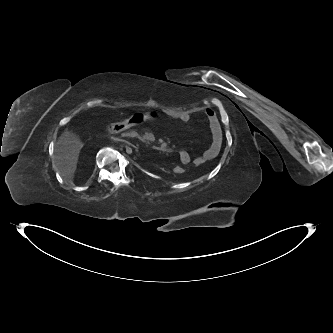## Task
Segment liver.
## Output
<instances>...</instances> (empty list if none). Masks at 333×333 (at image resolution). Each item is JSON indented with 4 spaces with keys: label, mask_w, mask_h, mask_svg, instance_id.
<instances>
[{
    "label": "liver",
    "mask_w": 333,
    "mask_h": 333,
    "mask_svg": "<svg viewBox=\"0 0 333 333\" xmlns=\"http://www.w3.org/2000/svg\"><path fill=\"white\" fill-rule=\"evenodd\" d=\"M84 144L73 132L66 130L59 137L55 148L54 163L61 176L73 183L79 154Z\"/></svg>",
    "instance_id": "1"
}]
</instances>
